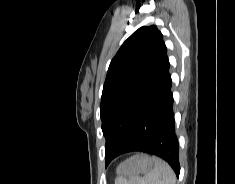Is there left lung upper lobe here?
<instances>
[{
	"instance_id": "1",
	"label": "left lung upper lobe",
	"mask_w": 235,
	"mask_h": 184,
	"mask_svg": "<svg viewBox=\"0 0 235 184\" xmlns=\"http://www.w3.org/2000/svg\"><path fill=\"white\" fill-rule=\"evenodd\" d=\"M165 52L163 35L157 27L143 26L122 44L112 59L100 105L106 166L130 136L156 81Z\"/></svg>"
}]
</instances>
